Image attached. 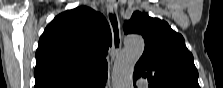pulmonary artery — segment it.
I'll list each match as a JSON object with an SVG mask.
<instances>
[{
	"label": "pulmonary artery",
	"instance_id": "pulmonary-artery-1",
	"mask_svg": "<svg viewBox=\"0 0 223 88\" xmlns=\"http://www.w3.org/2000/svg\"><path fill=\"white\" fill-rule=\"evenodd\" d=\"M139 84H140L141 86H144V83H143L142 81H140Z\"/></svg>",
	"mask_w": 223,
	"mask_h": 88
}]
</instances>
